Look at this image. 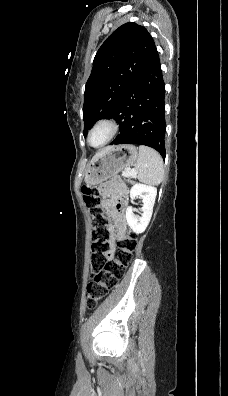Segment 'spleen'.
<instances>
[{
	"label": "spleen",
	"mask_w": 228,
	"mask_h": 396,
	"mask_svg": "<svg viewBox=\"0 0 228 396\" xmlns=\"http://www.w3.org/2000/svg\"><path fill=\"white\" fill-rule=\"evenodd\" d=\"M135 171L139 181L158 185L163 181V160L160 154L147 146H139V157L135 164Z\"/></svg>",
	"instance_id": "1"
}]
</instances>
